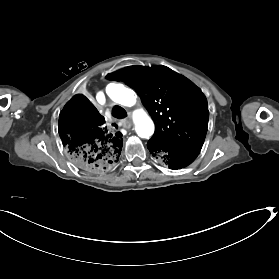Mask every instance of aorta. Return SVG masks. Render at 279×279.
<instances>
[{"mask_svg":"<svg viewBox=\"0 0 279 279\" xmlns=\"http://www.w3.org/2000/svg\"><path fill=\"white\" fill-rule=\"evenodd\" d=\"M107 95L116 103L131 107L136 103L135 93L122 84L111 83L106 87ZM135 130L139 137L149 138L154 133V123L144 110L135 111L133 114Z\"/></svg>","mask_w":279,"mask_h":279,"instance_id":"762f6f07","label":"aorta"}]
</instances>
